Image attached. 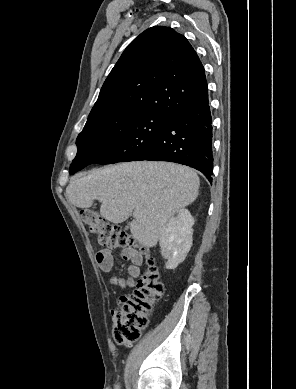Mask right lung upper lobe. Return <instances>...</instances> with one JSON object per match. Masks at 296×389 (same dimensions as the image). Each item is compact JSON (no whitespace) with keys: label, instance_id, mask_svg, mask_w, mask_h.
<instances>
[{"label":"right lung upper lobe","instance_id":"cb5924a9","mask_svg":"<svg viewBox=\"0 0 296 389\" xmlns=\"http://www.w3.org/2000/svg\"><path fill=\"white\" fill-rule=\"evenodd\" d=\"M207 100L204 67L188 40L169 27L154 26L124 50L88 119L117 110L171 117Z\"/></svg>","mask_w":296,"mask_h":389}]
</instances>
